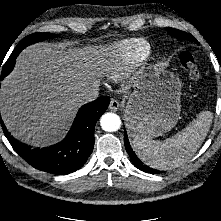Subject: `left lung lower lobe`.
Segmentation results:
<instances>
[{
  "label": "left lung lower lobe",
  "mask_w": 221,
  "mask_h": 221,
  "mask_svg": "<svg viewBox=\"0 0 221 221\" xmlns=\"http://www.w3.org/2000/svg\"><path fill=\"white\" fill-rule=\"evenodd\" d=\"M124 144H125V148H126V151L128 152L129 156L131 157V160L133 162V164L135 165V167H137L138 169H140L141 171H144L146 173H152V174H155L157 173L158 171L155 170V169H152L146 165H144L135 155V153L133 152L130 144H129V141H128V138H127V134L125 132V135H124Z\"/></svg>",
  "instance_id": "left-lung-lower-lobe-1"
}]
</instances>
